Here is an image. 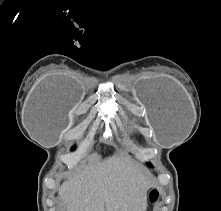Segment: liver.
Listing matches in <instances>:
<instances>
[{
    "mask_svg": "<svg viewBox=\"0 0 221 211\" xmlns=\"http://www.w3.org/2000/svg\"><path fill=\"white\" fill-rule=\"evenodd\" d=\"M154 185L129 156H98L59 188L64 211H144Z\"/></svg>",
    "mask_w": 221,
    "mask_h": 211,
    "instance_id": "obj_1",
    "label": "liver"
}]
</instances>
